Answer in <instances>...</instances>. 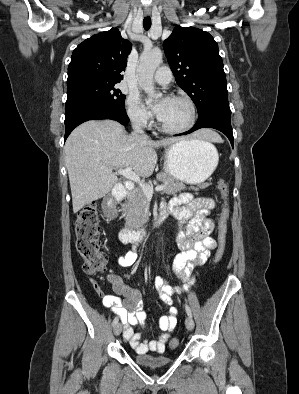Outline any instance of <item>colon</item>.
<instances>
[{"mask_svg":"<svg viewBox=\"0 0 299 394\" xmlns=\"http://www.w3.org/2000/svg\"><path fill=\"white\" fill-rule=\"evenodd\" d=\"M218 189L223 199V207L218 220V246L215 262L223 258L226 247L227 220L229 217L228 186L224 180L218 181ZM76 249L83 259V270L89 275L104 273L107 267V256L100 249V228L98 223L97 206L89 203L79 212L75 222ZM177 341L170 343L175 347Z\"/></svg>","mask_w":299,"mask_h":394,"instance_id":"1","label":"colon"}]
</instances>
